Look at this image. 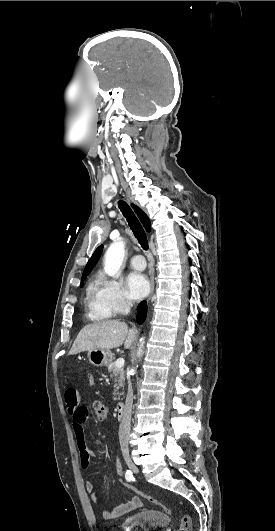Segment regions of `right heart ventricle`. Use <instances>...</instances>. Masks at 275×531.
<instances>
[{
	"label": "right heart ventricle",
	"mask_w": 275,
	"mask_h": 531,
	"mask_svg": "<svg viewBox=\"0 0 275 531\" xmlns=\"http://www.w3.org/2000/svg\"><path fill=\"white\" fill-rule=\"evenodd\" d=\"M93 289H94V284L91 282L88 285V288H87V299H88L89 314L93 318H95L97 320H101V319L106 318V316H104L102 313L97 311L92 305Z\"/></svg>",
	"instance_id": "e07e8e85"
}]
</instances>
